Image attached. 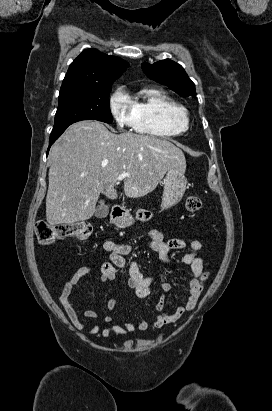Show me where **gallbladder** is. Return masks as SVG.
<instances>
[{
  "mask_svg": "<svg viewBox=\"0 0 272 411\" xmlns=\"http://www.w3.org/2000/svg\"><path fill=\"white\" fill-rule=\"evenodd\" d=\"M109 213V207L104 203V201H100L99 205L95 210V216L97 218H105Z\"/></svg>",
  "mask_w": 272,
  "mask_h": 411,
  "instance_id": "gallbladder-1",
  "label": "gallbladder"
}]
</instances>
